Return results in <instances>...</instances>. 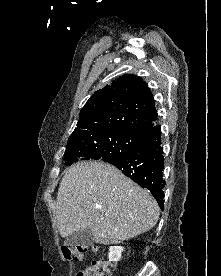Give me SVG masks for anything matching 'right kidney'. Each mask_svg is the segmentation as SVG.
<instances>
[{"mask_svg": "<svg viewBox=\"0 0 221 276\" xmlns=\"http://www.w3.org/2000/svg\"><path fill=\"white\" fill-rule=\"evenodd\" d=\"M123 252V247L120 246H112L109 249V261L117 262L121 259V255Z\"/></svg>", "mask_w": 221, "mask_h": 276, "instance_id": "ca27d5eb", "label": "right kidney"}]
</instances>
